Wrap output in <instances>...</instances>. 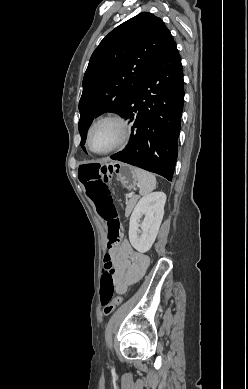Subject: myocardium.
<instances>
[{
	"label": "myocardium",
	"mask_w": 248,
	"mask_h": 389,
	"mask_svg": "<svg viewBox=\"0 0 248 389\" xmlns=\"http://www.w3.org/2000/svg\"><path fill=\"white\" fill-rule=\"evenodd\" d=\"M105 122H111L117 126L118 137H117L116 141L112 145H110L108 148H106L104 150H95L92 147L93 132L98 125L105 123ZM129 138H130V126H129L128 121L124 117H122L118 114H105V115L100 116L97 119H95L91 123V125L89 126L88 131H87L86 144H87L88 149L91 152H93L97 155H106V154H109V153L119 149L123 145H125L128 142Z\"/></svg>",
	"instance_id": "myocardium-1"
}]
</instances>
